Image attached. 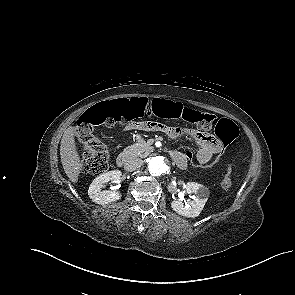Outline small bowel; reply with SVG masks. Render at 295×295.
<instances>
[{"mask_svg": "<svg viewBox=\"0 0 295 295\" xmlns=\"http://www.w3.org/2000/svg\"><path fill=\"white\" fill-rule=\"evenodd\" d=\"M155 124L156 123L153 122H132L127 124L126 130L163 131L172 138L183 137L192 139L198 145L195 159L203 164L209 162L221 150V142L212 134L180 128L171 129L168 127H165V130H160ZM175 152L182 157V161L180 163H176L177 166L185 168L188 162L187 156L184 153L178 151Z\"/></svg>", "mask_w": 295, "mask_h": 295, "instance_id": "1", "label": "small bowel"}]
</instances>
